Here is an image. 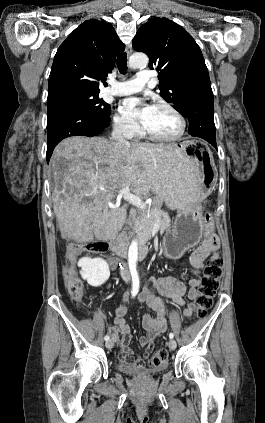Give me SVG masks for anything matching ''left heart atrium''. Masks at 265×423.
Here are the masks:
<instances>
[{"mask_svg": "<svg viewBox=\"0 0 265 423\" xmlns=\"http://www.w3.org/2000/svg\"><path fill=\"white\" fill-rule=\"evenodd\" d=\"M152 107L140 98L131 97L123 100L121 109L126 116L135 117L143 124L149 117Z\"/></svg>", "mask_w": 265, "mask_h": 423, "instance_id": "left-heart-atrium-1", "label": "left heart atrium"}]
</instances>
